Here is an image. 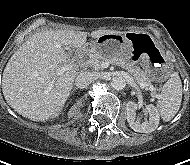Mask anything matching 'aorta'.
<instances>
[{
	"mask_svg": "<svg viewBox=\"0 0 190 165\" xmlns=\"http://www.w3.org/2000/svg\"><path fill=\"white\" fill-rule=\"evenodd\" d=\"M126 86V80L123 76L118 75L111 79V87L115 90H122Z\"/></svg>",
	"mask_w": 190,
	"mask_h": 165,
	"instance_id": "762f6f07",
	"label": "aorta"
}]
</instances>
